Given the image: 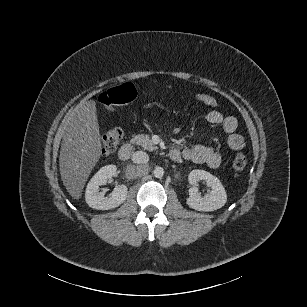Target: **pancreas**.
<instances>
[{
    "instance_id": "1",
    "label": "pancreas",
    "mask_w": 307,
    "mask_h": 307,
    "mask_svg": "<svg viewBox=\"0 0 307 307\" xmlns=\"http://www.w3.org/2000/svg\"><path fill=\"white\" fill-rule=\"evenodd\" d=\"M135 143L141 145L146 150H154L156 147L153 145V142L150 140L148 135L139 134L135 136Z\"/></svg>"
}]
</instances>
